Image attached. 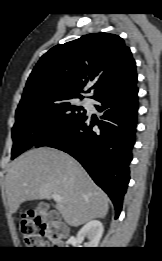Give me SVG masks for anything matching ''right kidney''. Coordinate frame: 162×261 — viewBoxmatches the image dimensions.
<instances>
[{
    "label": "right kidney",
    "instance_id": "right-kidney-1",
    "mask_svg": "<svg viewBox=\"0 0 162 261\" xmlns=\"http://www.w3.org/2000/svg\"><path fill=\"white\" fill-rule=\"evenodd\" d=\"M103 225L98 220H92L85 224L77 234L78 240H82L84 237L88 239L86 247L96 248L103 235Z\"/></svg>",
    "mask_w": 162,
    "mask_h": 261
}]
</instances>
